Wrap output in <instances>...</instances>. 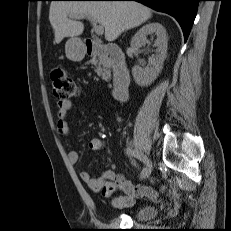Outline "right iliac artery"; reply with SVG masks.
Wrapping results in <instances>:
<instances>
[{
  "instance_id": "1",
  "label": "right iliac artery",
  "mask_w": 231,
  "mask_h": 231,
  "mask_svg": "<svg viewBox=\"0 0 231 231\" xmlns=\"http://www.w3.org/2000/svg\"><path fill=\"white\" fill-rule=\"evenodd\" d=\"M125 151L128 156H133L139 159L140 161H142L146 165L141 172V178L142 179L148 178L149 175L151 174V169L147 166L148 158L142 153H139L138 151H135L131 148H127Z\"/></svg>"
}]
</instances>
